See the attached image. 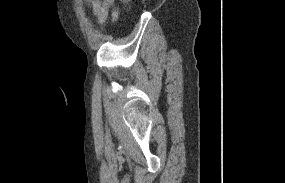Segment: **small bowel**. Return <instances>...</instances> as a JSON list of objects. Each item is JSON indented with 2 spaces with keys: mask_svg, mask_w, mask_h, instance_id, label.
<instances>
[{
  "mask_svg": "<svg viewBox=\"0 0 285 183\" xmlns=\"http://www.w3.org/2000/svg\"><path fill=\"white\" fill-rule=\"evenodd\" d=\"M115 0H86V3L91 7L92 14L96 21L104 25L109 18V10L113 6ZM118 11H112L110 20L112 23L118 19Z\"/></svg>",
  "mask_w": 285,
  "mask_h": 183,
  "instance_id": "small-bowel-1",
  "label": "small bowel"
}]
</instances>
